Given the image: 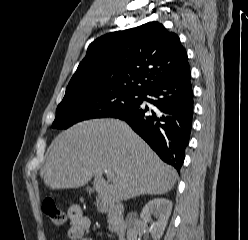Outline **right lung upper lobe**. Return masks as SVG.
Listing matches in <instances>:
<instances>
[{"label": "right lung upper lobe", "instance_id": "cb5924a9", "mask_svg": "<svg viewBox=\"0 0 248 240\" xmlns=\"http://www.w3.org/2000/svg\"><path fill=\"white\" fill-rule=\"evenodd\" d=\"M189 70L178 35L159 22H148L93 41L66 90L124 89L144 94Z\"/></svg>", "mask_w": 248, "mask_h": 240}]
</instances>
